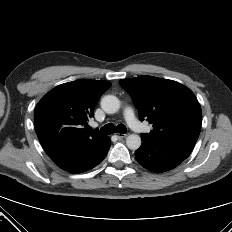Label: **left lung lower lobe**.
<instances>
[{"label":"left lung lower lobe","instance_id":"left-lung-lower-lobe-1","mask_svg":"<svg viewBox=\"0 0 232 232\" xmlns=\"http://www.w3.org/2000/svg\"><path fill=\"white\" fill-rule=\"evenodd\" d=\"M141 147L135 152L137 161L146 169L161 173L177 167L191 153L196 142L187 140L156 141L141 136Z\"/></svg>","mask_w":232,"mask_h":232}]
</instances>
